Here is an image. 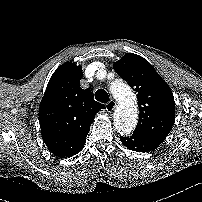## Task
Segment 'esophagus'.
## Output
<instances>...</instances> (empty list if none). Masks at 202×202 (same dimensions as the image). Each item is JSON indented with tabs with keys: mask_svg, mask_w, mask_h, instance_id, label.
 Instances as JSON below:
<instances>
[{
	"mask_svg": "<svg viewBox=\"0 0 202 202\" xmlns=\"http://www.w3.org/2000/svg\"><path fill=\"white\" fill-rule=\"evenodd\" d=\"M116 107V101L111 99L107 104H106V110L107 112H112Z\"/></svg>",
	"mask_w": 202,
	"mask_h": 202,
	"instance_id": "esophagus-1",
	"label": "esophagus"
}]
</instances>
